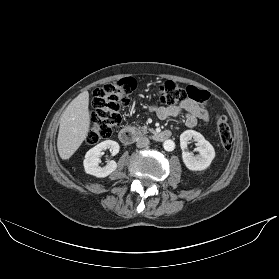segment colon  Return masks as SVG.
<instances>
[{
    "instance_id": "5ec220e1",
    "label": "colon",
    "mask_w": 279,
    "mask_h": 279,
    "mask_svg": "<svg viewBox=\"0 0 279 279\" xmlns=\"http://www.w3.org/2000/svg\"><path fill=\"white\" fill-rule=\"evenodd\" d=\"M135 88L134 79L123 78L95 89L94 109L86 137L88 144H96L111 137L116 127L121 123L120 111L129 104V96ZM185 99L206 103L209 94L192 86L183 88L173 81H166L160 86L159 101L162 105L174 106ZM215 122L221 145L226 150L231 149L234 138L227 118L219 114L216 115Z\"/></svg>"
}]
</instances>
